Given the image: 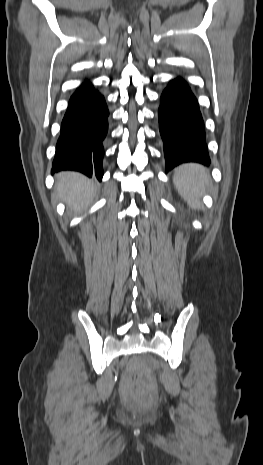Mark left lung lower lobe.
Returning a JSON list of instances; mask_svg holds the SVG:
<instances>
[{
    "mask_svg": "<svg viewBox=\"0 0 263 465\" xmlns=\"http://www.w3.org/2000/svg\"><path fill=\"white\" fill-rule=\"evenodd\" d=\"M159 129L166 170L184 162L210 163L198 102L181 78L172 80L161 95Z\"/></svg>",
    "mask_w": 263,
    "mask_h": 465,
    "instance_id": "obj_1",
    "label": "left lung lower lobe"
}]
</instances>
